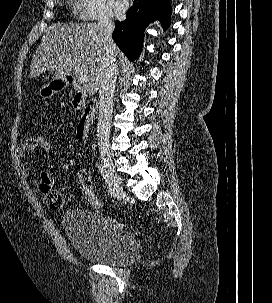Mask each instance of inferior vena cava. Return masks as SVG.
<instances>
[{"mask_svg": "<svg viewBox=\"0 0 272 303\" xmlns=\"http://www.w3.org/2000/svg\"><path fill=\"white\" fill-rule=\"evenodd\" d=\"M104 38V53L99 74V119L97 124V143L103 160L110 159L109 137L114 104V90L118 75L115 58V43L112 39L114 23L109 14H104L98 21Z\"/></svg>", "mask_w": 272, "mask_h": 303, "instance_id": "obj_1", "label": "inferior vena cava"}]
</instances>
